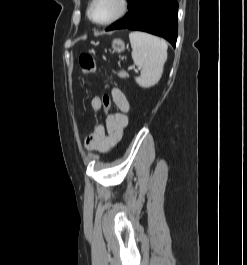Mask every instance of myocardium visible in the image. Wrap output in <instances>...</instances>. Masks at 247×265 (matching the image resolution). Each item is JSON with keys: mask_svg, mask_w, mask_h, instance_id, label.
<instances>
[{"mask_svg": "<svg viewBox=\"0 0 247 265\" xmlns=\"http://www.w3.org/2000/svg\"><path fill=\"white\" fill-rule=\"evenodd\" d=\"M96 2H97V0H91L90 1L88 9H87V16H88L89 20L97 26H109L111 24H114L117 21L124 18L130 10V1L129 0H116V3L118 4L117 11L110 18H108L105 21H96L92 16V9H93Z\"/></svg>", "mask_w": 247, "mask_h": 265, "instance_id": "f54148a6", "label": "myocardium"}]
</instances>
